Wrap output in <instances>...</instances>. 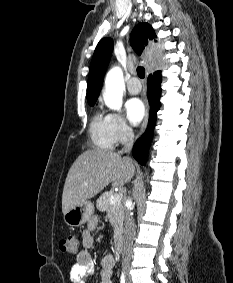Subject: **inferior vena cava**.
<instances>
[{
    "instance_id": "obj_1",
    "label": "inferior vena cava",
    "mask_w": 233,
    "mask_h": 283,
    "mask_svg": "<svg viewBox=\"0 0 233 283\" xmlns=\"http://www.w3.org/2000/svg\"><path fill=\"white\" fill-rule=\"evenodd\" d=\"M133 141H134L133 130L131 128H128V138L119 153L120 154L129 153L132 149ZM124 222H125V230H124V239H123L122 267L126 269L130 265L132 244L135 234V225L133 218L131 216V211L129 209H125Z\"/></svg>"
}]
</instances>
